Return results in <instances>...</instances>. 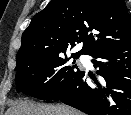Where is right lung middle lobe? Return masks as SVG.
I'll use <instances>...</instances> for the list:
<instances>
[{"instance_id":"right-lung-middle-lobe-1","label":"right lung middle lobe","mask_w":131,"mask_h":115,"mask_svg":"<svg viewBox=\"0 0 131 115\" xmlns=\"http://www.w3.org/2000/svg\"><path fill=\"white\" fill-rule=\"evenodd\" d=\"M67 61L66 53H55L16 69V90L40 100H56L82 73Z\"/></svg>"}]
</instances>
